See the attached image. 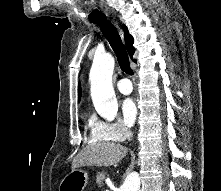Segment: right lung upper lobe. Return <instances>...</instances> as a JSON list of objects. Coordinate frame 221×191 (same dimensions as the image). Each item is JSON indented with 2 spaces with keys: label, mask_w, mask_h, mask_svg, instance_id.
I'll return each instance as SVG.
<instances>
[{
  "label": "right lung upper lobe",
  "mask_w": 221,
  "mask_h": 191,
  "mask_svg": "<svg viewBox=\"0 0 221 191\" xmlns=\"http://www.w3.org/2000/svg\"><path fill=\"white\" fill-rule=\"evenodd\" d=\"M123 26V30H124V35H125V43H126V47H127V50H128V53L130 55V57L133 56L134 54V47H133V37L129 34L128 32V29L125 25H122ZM78 95H79V98L81 97V88H80V84L78 86Z\"/></svg>",
  "instance_id": "1"
}]
</instances>
